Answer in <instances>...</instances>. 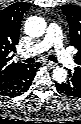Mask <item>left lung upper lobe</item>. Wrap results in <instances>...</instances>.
Here are the masks:
<instances>
[{
    "instance_id": "1",
    "label": "left lung upper lobe",
    "mask_w": 81,
    "mask_h": 124,
    "mask_svg": "<svg viewBox=\"0 0 81 124\" xmlns=\"http://www.w3.org/2000/svg\"><path fill=\"white\" fill-rule=\"evenodd\" d=\"M61 9L69 23L70 44L78 50L74 57L78 64L74 73L81 76V8L76 5H62Z\"/></svg>"
}]
</instances>
